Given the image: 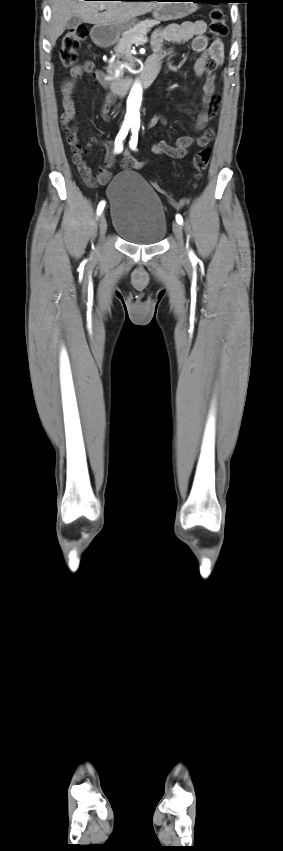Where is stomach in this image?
Listing matches in <instances>:
<instances>
[{"label": "stomach", "instance_id": "1", "mask_svg": "<svg viewBox=\"0 0 283 851\" xmlns=\"http://www.w3.org/2000/svg\"><path fill=\"white\" fill-rule=\"evenodd\" d=\"M183 1V0H180ZM185 1V0H184ZM193 2H166L158 8L154 9L153 17L158 21L177 20L184 18L197 10V5ZM136 20L131 19L122 23L96 25L92 29L93 39L105 44H114L120 35L130 29Z\"/></svg>", "mask_w": 283, "mask_h": 851}]
</instances>
